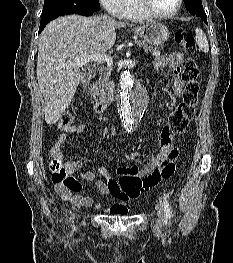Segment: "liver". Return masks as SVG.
Wrapping results in <instances>:
<instances>
[{"label": "liver", "instance_id": "liver-1", "mask_svg": "<svg viewBox=\"0 0 233 263\" xmlns=\"http://www.w3.org/2000/svg\"><path fill=\"white\" fill-rule=\"evenodd\" d=\"M126 23L105 16L69 15L51 21L39 37L37 80L44 96L48 125L55 124L70 105L82 74L68 63L83 55L105 54L116 41V28Z\"/></svg>", "mask_w": 233, "mask_h": 263}]
</instances>
